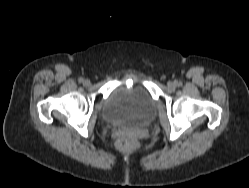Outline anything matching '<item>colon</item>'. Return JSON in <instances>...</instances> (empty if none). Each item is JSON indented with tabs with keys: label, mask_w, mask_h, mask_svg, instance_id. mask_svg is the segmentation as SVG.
<instances>
[{
	"label": "colon",
	"mask_w": 249,
	"mask_h": 188,
	"mask_svg": "<svg viewBox=\"0 0 249 188\" xmlns=\"http://www.w3.org/2000/svg\"><path fill=\"white\" fill-rule=\"evenodd\" d=\"M138 143L137 136L134 133H124L119 138L117 144L121 150H130L136 147Z\"/></svg>",
	"instance_id": "1"
}]
</instances>
